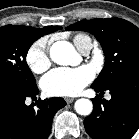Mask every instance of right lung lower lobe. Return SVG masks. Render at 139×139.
<instances>
[{
  "mask_svg": "<svg viewBox=\"0 0 139 139\" xmlns=\"http://www.w3.org/2000/svg\"><path fill=\"white\" fill-rule=\"evenodd\" d=\"M38 88L24 90L0 83V139H47L54 114L66 105L63 98L40 100L26 105L28 97L36 99Z\"/></svg>",
  "mask_w": 139,
  "mask_h": 139,
  "instance_id": "right-lung-lower-lobe-1",
  "label": "right lung lower lobe"
}]
</instances>
